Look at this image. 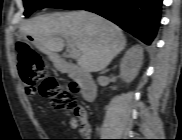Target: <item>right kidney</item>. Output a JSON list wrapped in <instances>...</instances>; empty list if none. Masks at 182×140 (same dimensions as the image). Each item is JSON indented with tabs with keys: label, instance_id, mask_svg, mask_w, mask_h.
<instances>
[{
	"label": "right kidney",
	"instance_id": "1",
	"mask_svg": "<svg viewBox=\"0 0 182 140\" xmlns=\"http://www.w3.org/2000/svg\"><path fill=\"white\" fill-rule=\"evenodd\" d=\"M143 62V49L136 45L130 48L120 64V76L127 82H132L139 73Z\"/></svg>",
	"mask_w": 182,
	"mask_h": 140
}]
</instances>
